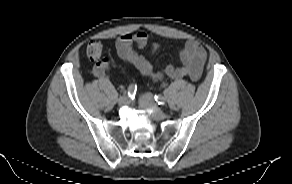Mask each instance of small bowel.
Segmentation results:
<instances>
[{"label":"small bowel","mask_w":292,"mask_h":184,"mask_svg":"<svg viewBox=\"0 0 292 184\" xmlns=\"http://www.w3.org/2000/svg\"><path fill=\"white\" fill-rule=\"evenodd\" d=\"M149 42L148 35L143 31H138L134 34H123L116 40V50L118 56L136 68L141 74L152 79L153 81H160L165 76L173 79H181L183 77H190L196 81L201 77L204 64L206 62V50L195 41H188L184 48L180 51L181 66L172 64L167 65L163 72L155 73L150 62L141 54H139L135 47L143 48ZM160 48L159 44H153L152 50L156 52ZM111 69V61L108 58L97 61L92 69L95 77L103 79L107 77Z\"/></svg>","instance_id":"c3829d8e"}]
</instances>
